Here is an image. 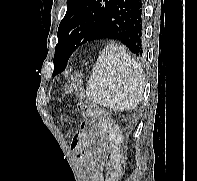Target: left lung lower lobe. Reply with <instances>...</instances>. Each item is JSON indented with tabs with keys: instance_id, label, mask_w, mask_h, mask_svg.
I'll list each match as a JSON object with an SVG mask.
<instances>
[{
	"instance_id": "1",
	"label": "left lung lower lobe",
	"mask_w": 197,
	"mask_h": 181,
	"mask_svg": "<svg viewBox=\"0 0 197 181\" xmlns=\"http://www.w3.org/2000/svg\"><path fill=\"white\" fill-rule=\"evenodd\" d=\"M142 0H114L100 21L92 40H117L137 56L144 53Z\"/></svg>"
}]
</instances>
